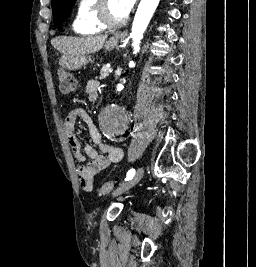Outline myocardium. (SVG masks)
I'll list each match as a JSON object with an SVG mask.
<instances>
[{
    "instance_id": "myocardium-1",
    "label": "myocardium",
    "mask_w": 256,
    "mask_h": 267,
    "mask_svg": "<svg viewBox=\"0 0 256 267\" xmlns=\"http://www.w3.org/2000/svg\"><path fill=\"white\" fill-rule=\"evenodd\" d=\"M111 1L113 0H99V8L95 15V19L103 30H112L116 27L110 24L108 17V9Z\"/></svg>"
}]
</instances>
